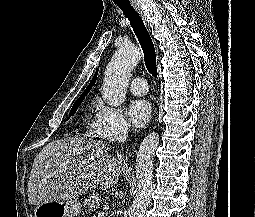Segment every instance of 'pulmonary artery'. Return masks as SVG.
<instances>
[{
  "mask_svg": "<svg viewBox=\"0 0 255 217\" xmlns=\"http://www.w3.org/2000/svg\"><path fill=\"white\" fill-rule=\"evenodd\" d=\"M130 92L137 96L145 95L148 91V85L144 78H134L130 83Z\"/></svg>",
  "mask_w": 255,
  "mask_h": 217,
  "instance_id": "obj_1",
  "label": "pulmonary artery"
}]
</instances>
